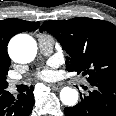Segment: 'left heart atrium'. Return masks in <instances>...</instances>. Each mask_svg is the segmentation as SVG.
Returning a JSON list of instances; mask_svg holds the SVG:
<instances>
[{"mask_svg":"<svg viewBox=\"0 0 116 116\" xmlns=\"http://www.w3.org/2000/svg\"><path fill=\"white\" fill-rule=\"evenodd\" d=\"M52 67L53 64H50L48 67L43 68L38 72L37 77L45 81L53 80L56 74L55 71L52 69Z\"/></svg>","mask_w":116,"mask_h":116,"instance_id":"39dd6f15","label":"left heart atrium"}]
</instances>
